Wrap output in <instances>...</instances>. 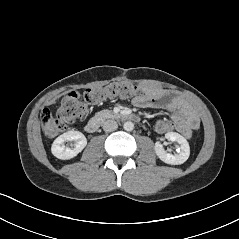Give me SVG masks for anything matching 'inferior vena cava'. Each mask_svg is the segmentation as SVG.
Segmentation results:
<instances>
[{
    "label": "inferior vena cava",
    "mask_w": 239,
    "mask_h": 239,
    "mask_svg": "<svg viewBox=\"0 0 239 239\" xmlns=\"http://www.w3.org/2000/svg\"><path fill=\"white\" fill-rule=\"evenodd\" d=\"M118 125L117 122L114 120H106L103 123V130L106 132H113L117 129Z\"/></svg>",
    "instance_id": "602c4592"
}]
</instances>
